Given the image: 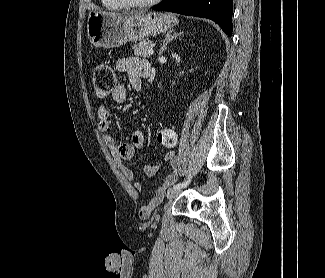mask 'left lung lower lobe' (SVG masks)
I'll list each match as a JSON object with an SVG mask.
<instances>
[{"label":"left lung lower lobe","instance_id":"left-lung-lower-lobe-1","mask_svg":"<svg viewBox=\"0 0 325 278\" xmlns=\"http://www.w3.org/2000/svg\"><path fill=\"white\" fill-rule=\"evenodd\" d=\"M152 9L208 18L232 35V0H164Z\"/></svg>","mask_w":325,"mask_h":278}]
</instances>
